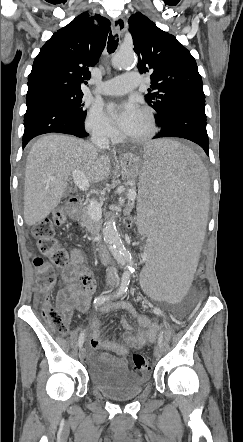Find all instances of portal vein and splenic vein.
Wrapping results in <instances>:
<instances>
[{
    "mask_svg": "<svg viewBox=\"0 0 243 442\" xmlns=\"http://www.w3.org/2000/svg\"><path fill=\"white\" fill-rule=\"evenodd\" d=\"M72 177L79 189L86 191L89 188V182L82 171L79 170L72 171ZM136 196H137L136 191L130 189L128 192V198L130 200H135ZM88 213L90 218L94 220H99L101 218V206L98 205V203H96L95 201H91L88 206Z\"/></svg>",
    "mask_w": 243,
    "mask_h": 442,
    "instance_id": "obj_1",
    "label": "portal vein and splenic vein"
}]
</instances>
